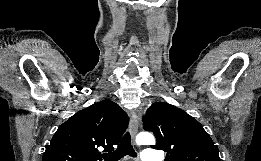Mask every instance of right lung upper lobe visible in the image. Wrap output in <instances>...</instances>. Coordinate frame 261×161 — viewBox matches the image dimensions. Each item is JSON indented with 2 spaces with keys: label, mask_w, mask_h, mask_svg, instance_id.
Listing matches in <instances>:
<instances>
[{
  "label": "right lung upper lobe",
  "mask_w": 261,
  "mask_h": 161,
  "mask_svg": "<svg viewBox=\"0 0 261 161\" xmlns=\"http://www.w3.org/2000/svg\"><path fill=\"white\" fill-rule=\"evenodd\" d=\"M118 104L102 100L74 114L59 126L42 161H102L98 147L113 150L128 126Z\"/></svg>",
  "instance_id": "1"
}]
</instances>
